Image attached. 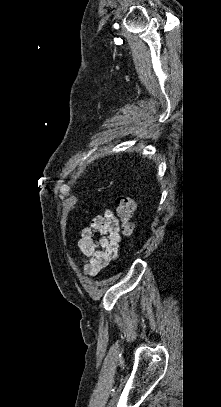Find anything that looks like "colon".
I'll list each match as a JSON object with an SVG mask.
<instances>
[{
    "label": "colon",
    "instance_id": "colon-1",
    "mask_svg": "<svg viewBox=\"0 0 221 407\" xmlns=\"http://www.w3.org/2000/svg\"><path fill=\"white\" fill-rule=\"evenodd\" d=\"M117 215L121 221V233L125 238H130L135 232L133 215L136 210V203L129 196H119L116 199Z\"/></svg>",
    "mask_w": 221,
    "mask_h": 407
}]
</instances>
